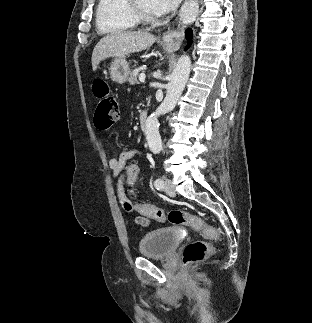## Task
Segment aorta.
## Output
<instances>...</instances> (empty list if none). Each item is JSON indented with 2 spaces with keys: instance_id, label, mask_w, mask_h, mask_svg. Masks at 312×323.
<instances>
[{
  "instance_id": "1",
  "label": "aorta",
  "mask_w": 312,
  "mask_h": 323,
  "mask_svg": "<svg viewBox=\"0 0 312 323\" xmlns=\"http://www.w3.org/2000/svg\"><path fill=\"white\" fill-rule=\"evenodd\" d=\"M191 58L189 56H181L176 68L167 84L166 98L157 108L156 112L149 116L145 122V136L148 146L153 154H158L162 150V140L159 134V116L167 114L175 108L178 98H180L189 78Z\"/></svg>"
}]
</instances>
